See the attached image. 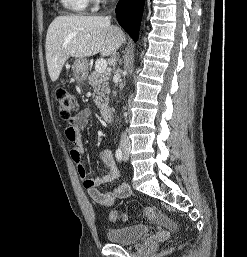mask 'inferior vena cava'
<instances>
[{
  "mask_svg": "<svg viewBox=\"0 0 247 257\" xmlns=\"http://www.w3.org/2000/svg\"><path fill=\"white\" fill-rule=\"evenodd\" d=\"M121 145L123 147H130V145H131L126 132L122 133V135H121Z\"/></svg>",
  "mask_w": 247,
  "mask_h": 257,
  "instance_id": "602c4592",
  "label": "inferior vena cava"
}]
</instances>
